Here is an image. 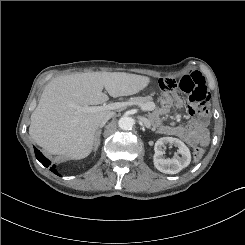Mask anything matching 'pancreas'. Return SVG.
I'll use <instances>...</instances> for the list:
<instances>
[{
	"instance_id": "1",
	"label": "pancreas",
	"mask_w": 245,
	"mask_h": 245,
	"mask_svg": "<svg viewBox=\"0 0 245 245\" xmlns=\"http://www.w3.org/2000/svg\"><path fill=\"white\" fill-rule=\"evenodd\" d=\"M151 101H152V98L149 96H147V97H133V98H130L127 103L129 105L143 106V105H145Z\"/></svg>"
}]
</instances>
